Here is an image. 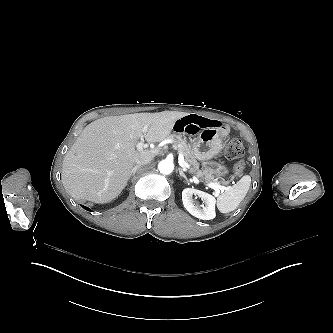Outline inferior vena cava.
Masks as SVG:
<instances>
[{
  "instance_id": "602c4592",
  "label": "inferior vena cava",
  "mask_w": 333,
  "mask_h": 333,
  "mask_svg": "<svg viewBox=\"0 0 333 333\" xmlns=\"http://www.w3.org/2000/svg\"><path fill=\"white\" fill-rule=\"evenodd\" d=\"M151 160H152V157H150V156L149 157H144L142 160H138L136 162V166H141V165H144V164H148Z\"/></svg>"
}]
</instances>
